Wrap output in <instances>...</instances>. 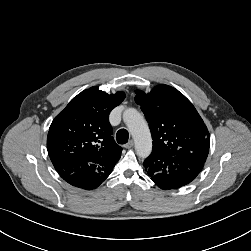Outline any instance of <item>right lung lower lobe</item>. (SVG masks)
I'll use <instances>...</instances> for the list:
<instances>
[{"instance_id": "1", "label": "right lung lower lobe", "mask_w": 251, "mask_h": 251, "mask_svg": "<svg viewBox=\"0 0 251 251\" xmlns=\"http://www.w3.org/2000/svg\"><path fill=\"white\" fill-rule=\"evenodd\" d=\"M64 155H59L56 158L51 159L55 169L61 176L60 164L64 162ZM96 165H87L79 169V172L75 176L62 177L66 182L73 186L80 187L83 189H94L98 187L108 176V173L99 174L97 173Z\"/></svg>"}]
</instances>
